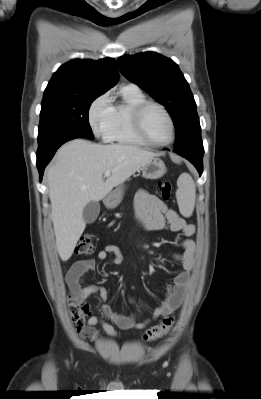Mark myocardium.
<instances>
[{
	"mask_svg": "<svg viewBox=\"0 0 261 399\" xmlns=\"http://www.w3.org/2000/svg\"><path fill=\"white\" fill-rule=\"evenodd\" d=\"M155 107L160 109L164 115L166 116L169 124H170V129H171V136L170 139L166 142H156L152 140L148 134L146 133L145 127H144V115L146 111L151 108ZM131 121H132V127L139 139H141L143 142H145L147 145L154 146V147H166L171 145L176 137V126L173 117L169 113V111L160 103L154 102V101H144L137 106L134 107L131 113Z\"/></svg>",
	"mask_w": 261,
	"mask_h": 399,
	"instance_id": "f54148a6",
	"label": "myocardium"
}]
</instances>
